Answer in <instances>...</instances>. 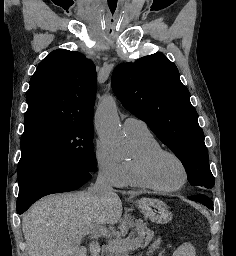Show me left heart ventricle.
<instances>
[{
  "instance_id": "1",
  "label": "left heart ventricle",
  "mask_w": 236,
  "mask_h": 256,
  "mask_svg": "<svg viewBox=\"0 0 236 256\" xmlns=\"http://www.w3.org/2000/svg\"><path fill=\"white\" fill-rule=\"evenodd\" d=\"M153 176L159 184L175 187L182 183L184 170L175 158L162 155L153 164Z\"/></svg>"
}]
</instances>
